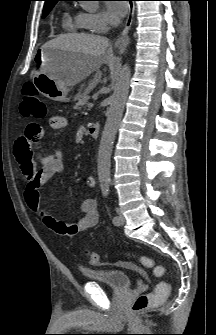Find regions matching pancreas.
Instances as JSON below:
<instances>
[{"label": "pancreas", "mask_w": 216, "mask_h": 335, "mask_svg": "<svg viewBox=\"0 0 216 335\" xmlns=\"http://www.w3.org/2000/svg\"><path fill=\"white\" fill-rule=\"evenodd\" d=\"M89 98L90 97L88 96V91H85L84 93L80 94L77 98L78 102L74 106V109L82 108L84 105L88 103Z\"/></svg>", "instance_id": "obj_1"}]
</instances>
